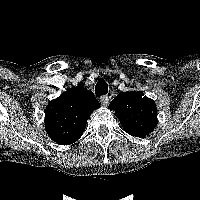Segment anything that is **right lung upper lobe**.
<instances>
[{
    "mask_svg": "<svg viewBox=\"0 0 200 200\" xmlns=\"http://www.w3.org/2000/svg\"><path fill=\"white\" fill-rule=\"evenodd\" d=\"M98 107V101L89 90L69 89L49 103L45 129L56 143L72 144L82 136L87 119Z\"/></svg>",
    "mask_w": 200,
    "mask_h": 200,
    "instance_id": "obj_1",
    "label": "right lung upper lobe"
}]
</instances>
